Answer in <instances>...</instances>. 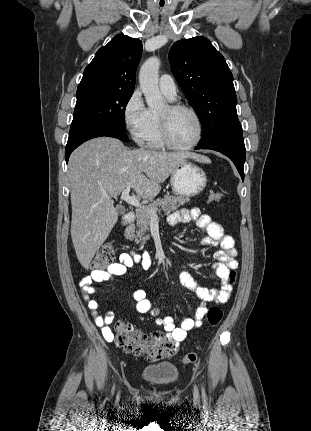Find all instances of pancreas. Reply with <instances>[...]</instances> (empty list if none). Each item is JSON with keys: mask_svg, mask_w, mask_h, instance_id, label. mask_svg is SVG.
I'll return each mask as SVG.
<instances>
[{"mask_svg": "<svg viewBox=\"0 0 311 431\" xmlns=\"http://www.w3.org/2000/svg\"><path fill=\"white\" fill-rule=\"evenodd\" d=\"M187 202H190V198H183V196H164V198H157L155 202L148 204L145 208L136 210L138 229H136L134 223L128 225L124 233L126 239H131V241L134 239L136 243H140L141 241L142 247L146 239L143 235H145L146 231H149L150 229L151 214L149 210L158 212L159 208H161L163 212H176L180 206H184Z\"/></svg>", "mask_w": 311, "mask_h": 431, "instance_id": "1", "label": "pancreas"}]
</instances>
